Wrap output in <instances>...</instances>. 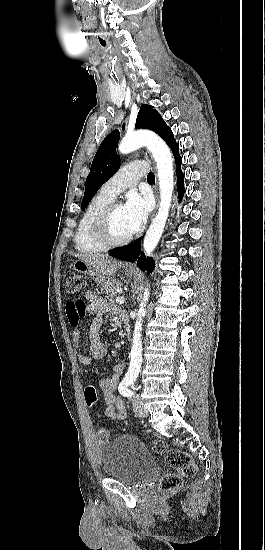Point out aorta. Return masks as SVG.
Instances as JSON below:
<instances>
[{
  "label": "aorta",
  "instance_id": "1",
  "mask_svg": "<svg viewBox=\"0 0 265 550\" xmlns=\"http://www.w3.org/2000/svg\"><path fill=\"white\" fill-rule=\"evenodd\" d=\"M142 146H146L148 148L157 164L160 187V206L155 218L146 232L143 242L144 252L146 255H150L156 248L162 236L166 220L169 215L174 190L173 160L166 143L157 135L147 131H138L127 134L120 142L118 149L121 153L127 154ZM149 296V288H146L137 313V319L135 321L131 348V360L128 370L129 375H138L141 368V331Z\"/></svg>",
  "mask_w": 265,
  "mask_h": 550
}]
</instances>
